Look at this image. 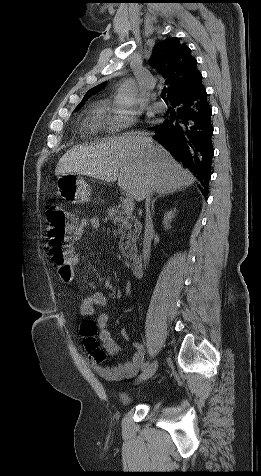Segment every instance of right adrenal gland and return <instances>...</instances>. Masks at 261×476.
Listing matches in <instances>:
<instances>
[{
  "label": "right adrenal gland",
  "instance_id": "right-adrenal-gland-1",
  "mask_svg": "<svg viewBox=\"0 0 261 476\" xmlns=\"http://www.w3.org/2000/svg\"><path fill=\"white\" fill-rule=\"evenodd\" d=\"M165 196H167V193L166 194H160V195H158V196H156L155 198L152 199V201H151V210H152L153 214H154V203H155V201L158 198H160V197L164 198Z\"/></svg>",
  "mask_w": 261,
  "mask_h": 476
}]
</instances>
